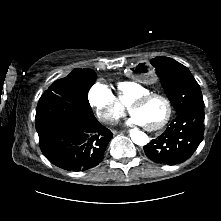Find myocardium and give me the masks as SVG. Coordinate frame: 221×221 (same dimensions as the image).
<instances>
[{
	"instance_id": "f54148a6",
	"label": "myocardium",
	"mask_w": 221,
	"mask_h": 221,
	"mask_svg": "<svg viewBox=\"0 0 221 221\" xmlns=\"http://www.w3.org/2000/svg\"><path fill=\"white\" fill-rule=\"evenodd\" d=\"M152 98H160L167 105V113H166L165 117L163 118V120L155 126H146V129L149 131H156V130H160V129L164 128L168 124V122L170 121L172 114H173L172 102L166 95L161 94V93H157V92H150L147 94H143V95L135 98L129 104V111L132 112L135 107L142 106V105L146 104Z\"/></svg>"
}]
</instances>
